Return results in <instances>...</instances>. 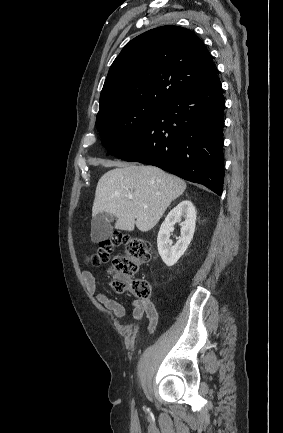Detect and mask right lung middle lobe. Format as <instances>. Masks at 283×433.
<instances>
[{"mask_svg":"<svg viewBox=\"0 0 283 433\" xmlns=\"http://www.w3.org/2000/svg\"><path fill=\"white\" fill-rule=\"evenodd\" d=\"M163 106L132 103L99 112L96 127L108 154L116 155L125 150Z\"/></svg>","mask_w":283,"mask_h":433,"instance_id":"obj_1","label":"right lung middle lobe"}]
</instances>
